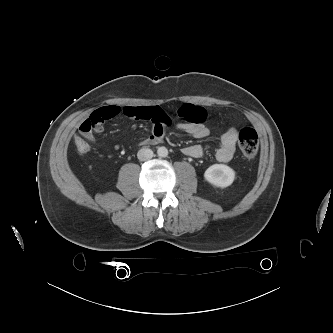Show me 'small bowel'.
Returning a JSON list of instances; mask_svg holds the SVG:
<instances>
[{"label": "small bowel", "mask_w": 333, "mask_h": 333, "mask_svg": "<svg viewBox=\"0 0 333 333\" xmlns=\"http://www.w3.org/2000/svg\"><path fill=\"white\" fill-rule=\"evenodd\" d=\"M181 121L177 128L186 132L196 139L205 138L209 135V130L204 122L207 116L206 110L202 107L184 103L178 109ZM128 119H142L152 122L153 129L142 143L145 145H155L164 139L166 130L170 126V118L163 109L158 106L151 107H118L107 106L95 110L85 119L79 127L80 134L89 140L94 139V133L103 129L104 123L118 117ZM237 130L229 128L222 134L215 157L219 162L230 161L236 151ZM186 156L199 158L203 155V147L199 144L189 145L182 149Z\"/></svg>", "instance_id": "1"}]
</instances>
